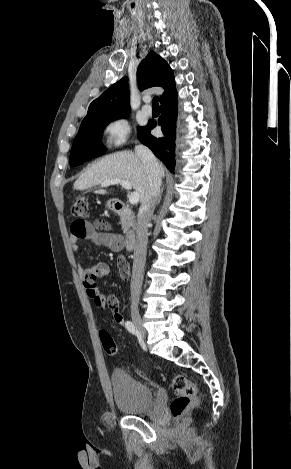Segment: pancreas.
Here are the masks:
<instances>
[{"instance_id":"1","label":"pancreas","mask_w":291,"mask_h":469,"mask_svg":"<svg viewBox=\"0 0 291 469\" xmlns=\"http://www.w3.org/2000/svg\"><path fill=\"white\" fill-rule=\"evenodd\" d=\"M120 219H121V225H122V230H123L124 234L129 236L131 234V231H130L131 222H130V220L128 219V217L126 215H122Z\"/></svg>"}]
</instances>
